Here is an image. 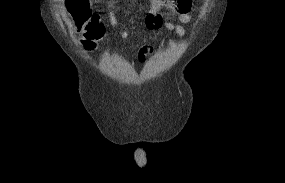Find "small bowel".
<instances>
[{
  "label": "small bowel",
  "instance_id": "small-bowel-1",
  "mask_svg": "<svg viewBox=\"0 0 285 183\" xmlns=\"http://www.w3.org/2000/svg\"><path fill=\"white\" fill-rule=\"evenodd\" d=\"M178 5L191 7V0H186V1L183 0L179 1L178 3L176 2L175 7L165 5L161 0H152L150 13L147 15L145 20L146 26L151 30H159L161 28H165L168 31L174 32L179 37H184L186 32L182 24L191 23L192 15L190 13L191 11L189 12L180 11L177 8ZM162 9H167V14L177 18L178 21L182 24L164 20L160 14V11ZM109 24L113 28L118 27V21L113 12L109 13ZM129 36L130 33L128 30H122L120 32V37L123 40L128 39ZM151 52L152 48L149 45H143L139 51L140 59H144Z\"/></svg>",
  "mask_w": 285,
  "mask_h": 183
}]
</instances>
